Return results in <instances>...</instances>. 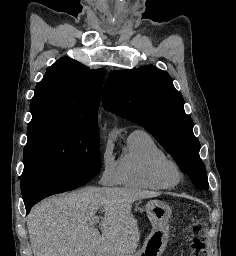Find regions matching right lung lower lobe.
Returning a JSON list of instances; mask_svg holds the SVG:
<instances>
[{"mask_svg":"<svg viewBox=\"0 0 236 256\" xmlns=\"http://www.w3.org/2000/svg\"><path fill=\"white\" fill-rule=\"evenodd\" d=\"M89 179L90 178L86 176H81L64 181L42 185L31 190L30 192L22 196L27 214L29 213L32 206L39 202L40 200L53 194L76 189L84 185L86 182H88Z\"/></svg>","mask_w":236,"mask_h":256,"instance_id":"right-lung-lower-lobe-1","label":"right lung lower lobe"}]
</instances>
